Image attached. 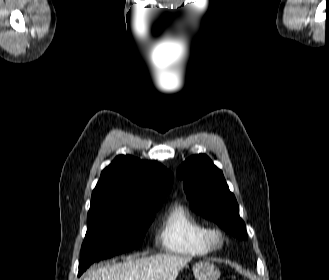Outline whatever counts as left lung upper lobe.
<instances>
[{"mask_svg":"<svg viewBox=\"0 0 329 280\" xmlns=\"http://www.w3.org/2000/svg\"><path fill=\"white\" fill-rule=\"evenodd\" d=\"M177 175L184 179V191L192 210L210 218L235 237L247 239L235 196L222 171L209 157L203 154L191 156L178 168Z\"/></svg>","mask_w":329,"mask_h":280,"instance_id":"left-lung-upper-lobe-1","label":"left lung upper lobe"}]
</instances>
